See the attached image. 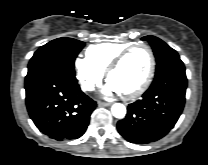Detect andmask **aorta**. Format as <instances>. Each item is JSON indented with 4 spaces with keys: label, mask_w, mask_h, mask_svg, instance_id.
<instances>
[{
    "label": "aorta",
    "mask_w": 208,
    "mask_h": 165,
    "mask_svg": "<svg viewBox=\"0 0 208 165\" xmlns=\"http://www.w3.org/2000/svg\"><path fill=\"white\" fill-rule=\"evenodd\" d=\"M112 114L115 118L122 119L126 115V107L121 103H115L111 108Z\"/></svg>",
    "instance_id": "aorta-1"
}]
</instances>
